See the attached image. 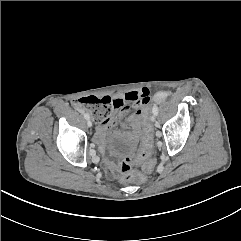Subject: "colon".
Here are the masks:
<instances>
[{
	"mask_svg": "<svg viewBox=\"0 0 241 241\" xmlns=\"http://www.w3.org/2000/svg\"><path fill=\"white\" fill-rule=\"evenodd\" d=\"M77 107L88 112L92 118L102 123L109 120L113 114L115 105L109 98H98L95 96L82 97L77 102ZM143 134L141 137V154L139 157H135L132 160L124 158L119 163V169L122 173V180L132 183H143L145 181V173L132 170L133 167H141L148 175L155 173V168L152 166L153 162L150 157V144H151V123L145 122L143 125Z\"/></svg>",
	"mask_w": 241,
	"mask_h": 241,
	"instance_id": "1",
	"label": "colon"
}]
</instances>
